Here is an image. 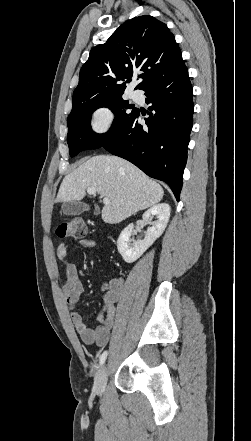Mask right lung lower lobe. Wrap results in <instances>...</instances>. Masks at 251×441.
I'll use <instances>...</instances> for the list:
<instances>
[{"instance_id": "obj_1", "label": "right lung lower lobe", "mask_w": 251, "mask_h": 441, "mask_svg": "<svg viewBox=\"0 0 251 441\" xmlns=\"http://www.w3.org/2000/svg\"><path fill=\"white\" fill-rule=\"evenodd\" d=\"M143 91L150 115L139 124L137 109L126 126L102 146L148 176L166 182L179 201L193 124L192 85L186 66L156 79Z\"/></svg>"}]
</instances>
